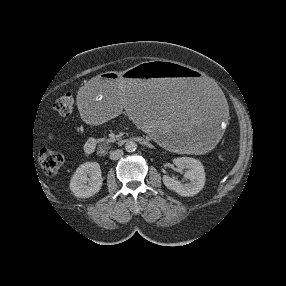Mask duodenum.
I'll use <instances>...</instances> for the list:
<instances>
[{
	"label": "duodenum",
	"instance_id": "1",
	"mask_svg": "<svg viewBox=\"0 0 286 286\" xmlns=\"http://www.w3.org/2000/svg\"><path fill=\"white\" fill-rule=\"evenodd\" d=\"M128 140H136V141L140 142L142 145H145V146H147L149 144V142L146 139L142 138V137H130V138H128ZM108 147L109 146L107 144H105V143L100 144L98 146V149H97L98 154L99 155H104L107 152Z\"/></svg>",
	"mask_w": 286,
	"mask_h": 286
}]
</instances>
